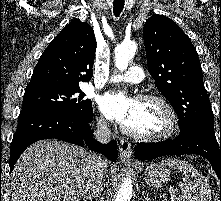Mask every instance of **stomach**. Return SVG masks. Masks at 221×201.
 Here are the masks:
<instances>
[{
  "mask_svg": "<svg viewBox=\"0 0 221 201\" xmlns=\"http://www.w3.org/2000/svg\"><path fill=\"white\" fill-rule=\"evenodd\" d=\"M144 179L151 186H163L170 180V170L161 163L151 164L144 171Z\"/></svg>",
  "mask_w": 221,
  "mask_h": 201,
  "instance_id": "stomach-1",
  "label": "stomach"
}]
</instances>
